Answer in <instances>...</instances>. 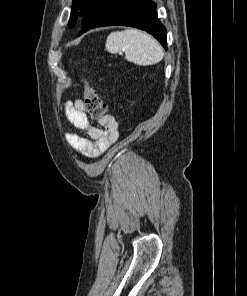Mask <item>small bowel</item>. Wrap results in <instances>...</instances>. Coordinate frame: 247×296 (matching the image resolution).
I'll use <instances>...</instances> for the list:
<instances>
[{
    "mask_svg": "<svg viewBox=\"0 0 247 296\" xmlns=\"http://www.w3.org/2000/svg\"><path fill=\"white\" fill-rule=\"evenodd\" d=\"M65 115L76 128L88 135V138L74 133H66L65 136L72 149L85 157L99 156L118 138L115 118L111 114L99 118L97 123L104 126V130L100 129L92 122L90 113L80 99L66 103Z\"/></svg>",
    "mask_w": 247,
    "mask_h": 296,
    "instance_id": "obj_1",
    "label": "small bowel"
}]
</instances>
